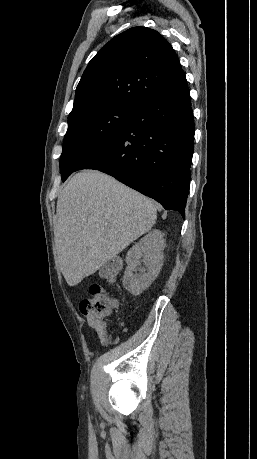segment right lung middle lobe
Here are the masks:
<instances>
[{"label": "right lung middle lobe", "instance_id": "dd1d6c3e", "mask_svg": "<svg viewBox=\"0 0 257 459\" xmlns=\"http://www.w3.org/2000/svg\"><path fill=\"white\" fill-rule=\"evenodd\" d=\"M135 107L110 106L68 122L60 158L62 181L130 123Z\"/></svg>", "mask_w": 257, "mask_h": 459}]
</instances>
